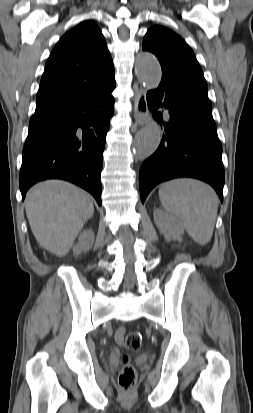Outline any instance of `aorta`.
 <instances>
[{
  "label": "aorta",
  "instance_id": "aorta-1",
  "mask_svg": "<svg viewBox=\"0 0 253 413\" xmlns=\"http://www.w3.org/2000/svg\"><path fill=\"white\" fill-rule=\"evenodd\" d=\"M138 80L149 89L156 88L161 82V68L157 58L142 52L137 57L135 66ZM161 141V131L156 122H149L136 135L133 142L134 155L144 160L152 155Z\"/></svg>",
  "mask_w": 253,
  "mask_h": 413
}]
</instances>
